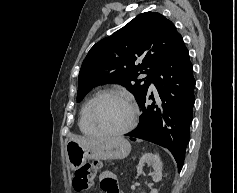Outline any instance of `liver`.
Listing matches in <instances>:
<instances>
[{"label":"liver","instance_id":"obj_1","mask_svg":"<svg viewBox=\"0 0 237 193\" xmlns=\"http://www.w3.org/2000/svg\"><path fill=\"white\" fill-rule=\"evenodd\" d=\"M70 140L86 145V144H92V143H99V142L104 141L105 139L94 140V139L87 138V137L74 136Z\"/></svg>","mask_w":237,"mask_h":193}]
</instances>
